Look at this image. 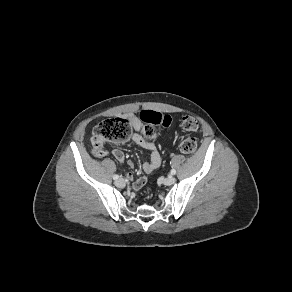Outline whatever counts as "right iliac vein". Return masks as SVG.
Returning <instances> with one entry per match:
<instances>
[{"label": "right iliac vein", "instance_id": "1", "mask_svg": "<svg viewBox=\"0 0 292 292\" xmlns=\"http://www.w3.org/2000/svg\"><path fill=\"white\" fill-rule=\"evenodd\" d=\"M115 185H116L117 187H120V188L124 187V186H125V181H124V179H122V178L117 179V180L115 181Z\"/></svg>", "mask_w": 292, "mask_h": 292}]
</instances>
